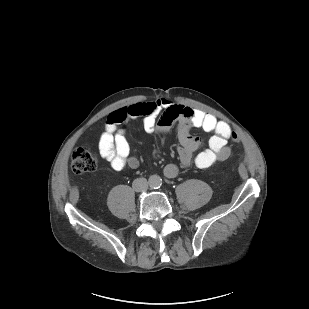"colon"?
Segmentation results:
<instances>
[{
    "mask_svg": "<svg viewBox=\"0 0 309 309\" xmlns=\"http://www.w3.org/2000/svg\"><path fill=\"white\" fill-rule=\"evenodd\" d=\"M233 142H238L239 137L236 133L230 136ZM97 157L90 148L82 146L76 148L71 156V170L75 174H85L93 172L97 167Z\"/></svg>",
    "mask_w": 309,
    "mask_h": 309,
    "instance_id": "obj_1",
    "label": "colon"
}]
</instances>
